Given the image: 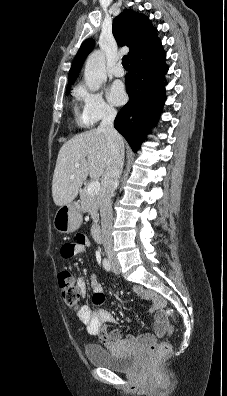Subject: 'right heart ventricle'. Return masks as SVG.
Returning <instances> with one entry per match:
<instances>
[{
    "label": "right heart ventricle",
    "mask_w": 227,
    "mask_h": 396,
    "mask_svg": "<svg viewBox=\"0 0 227 396\" xmlns=\"http://www.w3.org/2000/svg\"><path fill=\"white\" fill-rule=\"evenodd\" d=\"M76 120H77V123H78L80 126H87V125H89V123L84 119V117L78 115L77 112H76Z\"/></svg>",
    "instance_id": "e07e8e85"
}]
</instances>
